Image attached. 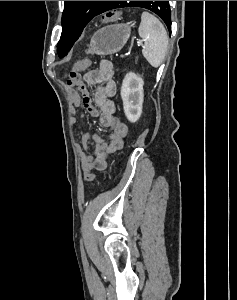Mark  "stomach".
<instances>
[{
    "label": "stomach",
    "instance_id": "obj_1",
    "mask_svg": "<svg viewBox=\"0 0 237 300\" xmlns=\"http://www.w3.org/2000/svg\"><path fill=\"white\" fill-rule=\"evenodd\" d=\"M130 35V23L102 27L92 35L86 53L87 55H113V53H118L126 45Z\"/></svg>",
    "mask_w": 237,
    "mask_h": 300
}]
</instances>
